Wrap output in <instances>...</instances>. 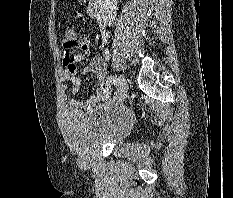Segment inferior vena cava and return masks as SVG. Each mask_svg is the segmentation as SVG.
I'll use <instances>...</instances> for the list:
<instances>
[{
  "label": "inferior vena cava",
  "instance_id": "obj_1",
  "mask_svg": "<svg viewBox=\"0 0 233 198\" xmlns=\"http://www.w3.org/2000/svg\"><path fill=\"white\" fill-rule=\"evenodd\" d=\"M100 5L104 23L110 26L116 18L117 0H100Z\"/></svg>",
  "mask_w": 233,
  "mask_h": 198
}]
</instances>
